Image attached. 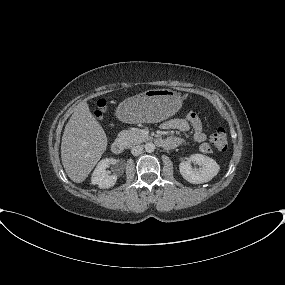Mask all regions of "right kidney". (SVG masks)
Masks as SVG:
<instances>
[{"instance_id":"1","label":"right kidney","mask_w":285,"mask_h":285,"mask_svg":"<svg viewBox=\"0 0 285 285\" xmlns=\"http://www.w3.org/2000/svg\"><path fill=\"white\" fill-rule=\"evenodd\" d=\"M113 162L114 160L112 158H105L98 163L91 177V183L93 185H98L101 189L110 188L115 185L117 176L110 175V173L106 171V168Z\"/></svg>"}]
</instances>
